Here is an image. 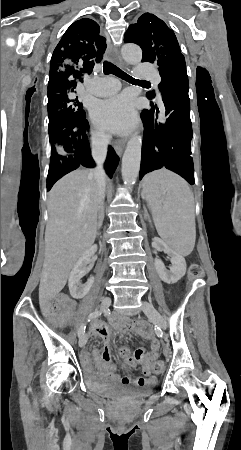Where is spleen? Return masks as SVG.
I'll use <instances>...</instances> for the list:
<instances>
[{
  "label": "spleen",
  "instance_id": "1",
  "mask_svg": "<svg viewBox=\"0 0 241 450\" xmlns=\"http://www.w3.org/2000/svg\"><path fill=\"white\" fill-rule=\"evenodd\" d=\"M142 186L147 202L153 203L159 236L176 254L189 256L195 246V218L194 196L187 182L169 170H156L145 176Z\"/></svg>",
  "mask_w": 241,
  "mask_h": 450
}]
</instances>
